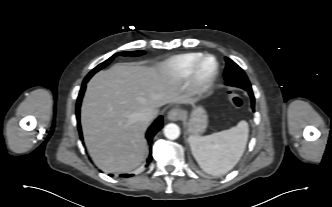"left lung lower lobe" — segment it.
Segmentation results:
<instances>
[{
    "mask_svg": "<svg viewBox=\"0 0 332 207\" xmlns=\"http://www.w3.org/2000/svg\"><path fill=\"white\" fill-rule=\"evenodd\" d=\"M246 91L249 93V95H250V97H251L252 109L254 110V106H255V97H254V95H253L252 88H249V89H247Z\"/></svg>",
    "mask_w": 332,
    "mask_h": 207,
    "instance_id": "obj_1",
    "label": "left lung lower lobe"
}]
</instances>
